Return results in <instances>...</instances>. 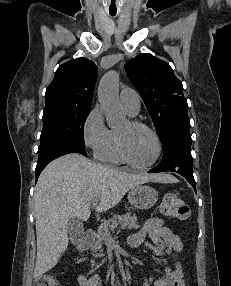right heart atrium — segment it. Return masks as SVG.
I'll return each mask as SVG.
<instances>
[{
    "mask_svg": "<svg viewBox=\"0 0 231 286\" xmlns=\"http://www.w3.org/2000/svg\"><path fill=\"white\" fill-rule=\"evenodd\" d=\"M109 134L110 130L105 124L100 107H94L87 115L82 126V138L85 147L96 154L108 140Z\"/></svg>",
    "mask_w": 231,
    "mask_h": 286,
    "instance_id": "obj_1",
    "label": "right heart atrium"
}]
</instances>
